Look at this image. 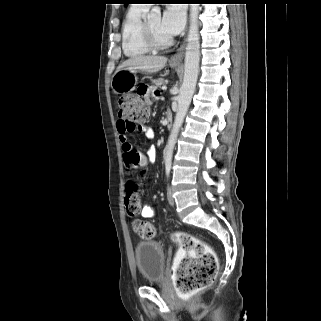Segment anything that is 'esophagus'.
Returning <instances> with one entry per match:
<instances>
[{
	"mask_svg": "<svg viewBox=\"0 0 321 321\" xmlns=\"http://www.w3.org/2000/svg\"><path fill=\"white\" fill-rule=\"evenodd\" d=\"M186 46V40L183 42V44L179 47L177 52L171 57V62H180L184 55V50Z\"/></svg>",
	"mask_w": 321,
	"mask_h": 321,
	"instance_id": "1",
	"label": "esophagus"
}]
</instances>
